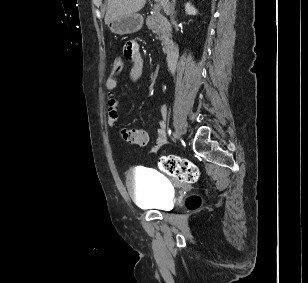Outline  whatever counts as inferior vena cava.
<instances>
[{
  "label": "inferior vena cava",
  "mask_w": 308,
  "mask_h": 283,
  "mask_svg": "<svg viewBox=\"0 0 308 283\" xmlns=\"http://www.w3.org/2000/svg\"><path fill=\"white\" fill-rule=\"evenodd\" d=\"M164 10H165V12H166L167 14H169L170 17H171V18L168 19V22H169V23H172V22H173V13H174V11L172 10V6H171L170 4H167V5L165 6Z\"/></svg>",
  "instance_id": "1"
}]
</instances>
